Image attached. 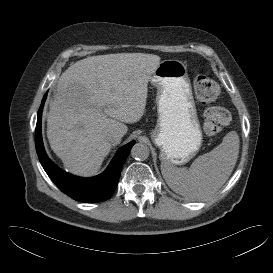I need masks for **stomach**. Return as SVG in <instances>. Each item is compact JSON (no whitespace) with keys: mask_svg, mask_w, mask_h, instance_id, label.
<instances>
[{"mask_svg":"<svg viewBox=\"0 0 273 273\" xmlns=\"http://www.w3.org/2000/svg\"><path fill=\"white\" fill-rule=\"evenodd\" d=\"M151 84L157 88L158 119L151 132L160 160L182 165L192 159L203 142L186 65L176 59L160 62Z\"/></svg>","mask_w":273,"mask_h":273,"instance_id":"1","label":"stomach"}]
</instances>
